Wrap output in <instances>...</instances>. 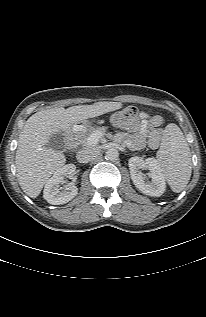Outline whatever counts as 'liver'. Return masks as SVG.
Instances as JSON below:
<instances>
[{
    "label": "liver",
    "instance_id": "obj_1",
    "mask_svg": "<svg viewBox=\"0 0 206 317\" xmlns=\"http://www.w3.org/2000/svg\"><path fill=\"white\" fill-rule=\"evenodd\" d=\"M122 107L120 102H97L67 109L57 107L41 110L26 121L19 135L15 156L17 179L26 195L36 198L49 177L60 169L66 158L60 151L46 147L50 136L70 132L88 118L97 117Z\"/></svg>",
    "mask_w": 206,
    "mask_h": 317
}]
</instances>
